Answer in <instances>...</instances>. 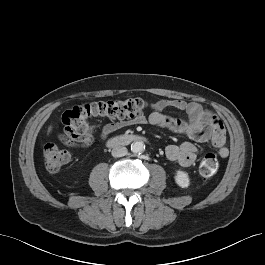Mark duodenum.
I'll use <instances>...</instances> for the list:
<instances>
[{
    "mask_svg": "<svg viewBox=\"0 0 265 265\" xmlns=\"http://www.w3.org/2000/svg\"><path fill=\"white\" fill-rule=\"evenodd\" d=\"M140 139L141 137L136 134H125L109 138L107 140V145L109 147H118L122 145L131 144L133 142L139 141Z\"/></svg>",
    "mask_w": 265,
    "mask_h": 265,
    "instance_id": "duodenum-1",
    "label": "duodenum"
}]
</instances>
